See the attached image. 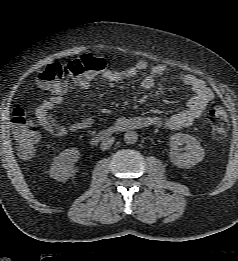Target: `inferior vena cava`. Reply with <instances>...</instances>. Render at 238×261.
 Listing matches in <instances>:
<instances>
[{
	"label": "inferior vena cava",
	"mask_w": 238,
	"mask_h": 261,
	"mask_svg": "<svg viewBox=\"0 0 238 261\" xmlns=\"http://www.w3.org/2000/svg\"><path fill=\"white\" fill-rule=\"evenodd\" d=\"M114 139L113 138H107L105 140L102 141V143L100 144V148L101 150H107L111 147V145L113 144Z\"/></svg>",
	"instance_id": "inferior-vena-cava-1"
}]
</instances>
